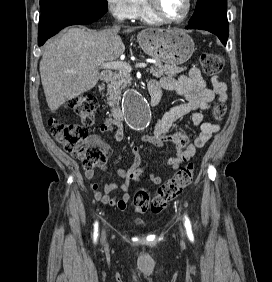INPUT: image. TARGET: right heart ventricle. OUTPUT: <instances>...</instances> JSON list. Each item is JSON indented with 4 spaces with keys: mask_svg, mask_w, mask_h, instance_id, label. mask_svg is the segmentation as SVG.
Instances as JSON below:
<instances>
[{
    "mask_svg": "<svg viewBox=\"0 0 272 282\" xmlns=\"http://www.w3.org/2000/svg\"><path fill=\"white\" fill-rule=\"evenodd\" d=\"M138 17L148 24L160 23V20H158L156 17H154L152 14H150L147 11L145 5H142L141 11H140Z\"/></svg>",
    "mask_w": 272,
    "mask_h": 282,
    "instance_id": "1",
    "label": "right heart ventricle"
}]
</instances>
